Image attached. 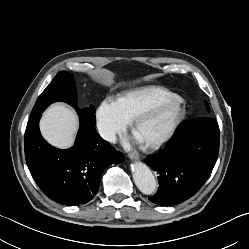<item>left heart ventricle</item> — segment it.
<instances>
[{"instance_id":"obj_1","label":"left heart ventricle","mask_w":249,"mask_h":249,"mask_svg":"<svg viewBox=\"0 0 249 249\" xmlns=\"http://www.w3.org/2000/svg\"><path fill=\"white\" fill-rule=\"evenodd\" d=\"M176 107L174 103L163 106L146 119L137 128V135L143 142L152 141L164 134L174 120Z\"/></svg>"}]
</instances>
